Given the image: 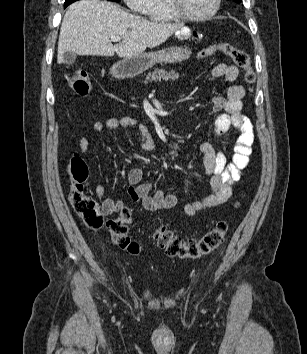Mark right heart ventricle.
Masks as SVG:
<instances>
[{
  "label": "right heart ventricle",
  "mask_w": 307,
  "mask_h": 354,
  "mask_svg": "<svg viewBox=\"0 0 307 354\" xmlns=\"http://www.w3.org/2000/svg\"><path fill=\"white\" fill-rule=\"evenodd\" d=\"M146 15L154 22H172L178 18L171 11L168 0H152Z\"/></svg>",
  "instance_id": "obj_1"
}]
</instances>
